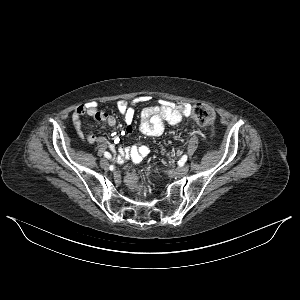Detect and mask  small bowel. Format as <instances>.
Instances as JSON below:
<instances>
[{"label": "small bowel", "mask_w": 300, "mask_h": 300, "mask_svg": "<svg viewBox=\"0 0 300 300\" xmlns=\"http://www.w3.org/2000/svg\"><path fill=\"white\" fill-rule=\"evenodd\" d=\"M147 97H137L132 100H119L117 108L125 123L124 133L130 134L133 131V121L135 117V107L142 102L147 101ZM192 106L189 103H173L166 100L158 101V104L144 108L140 113V122L138 129L146 136H159L164 132L165 123L178 124L191 113ZM90 116L95 120L102 122L109 127H114L117 123L116 118L99 109L97 103L90 102L80 105L72 115V122L77 136L81 140H87L90 143L103 142L102 138L94 134L85 135L82 130V117ZM116 139V134H114ZM114 151L113 145H110ZM149 154V148L146 145H133L119 149L118 162L122 163L125 159H131L134 162L142 161Z\"/></svg>", "instance_id": "1"}]
</instances>
